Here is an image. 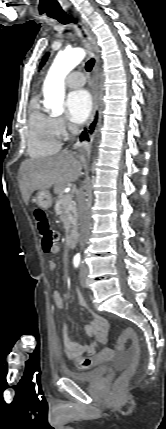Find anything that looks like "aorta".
<instances>
[{
    "instance_id": "1",
    "label": "aorta",
    "mask_w": 166,
    "mask_h": 429,
    "mask_svg": "<svg viewBox=\"0 0 166 429\" xmlns=\"http://www.w3.org/2000/svg\"><path fill=\"white\" fill-rule=\"evenodd\" d=\"M85 55L82 48L67 49L57 54L43 85L44 104L53 113L61 114L64 111L65 77L84 59Z\"/></svg>"
}]
</instances>
